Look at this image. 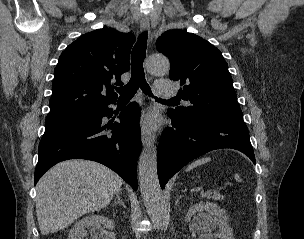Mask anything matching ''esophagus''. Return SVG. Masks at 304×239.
I'll return each mask as SVG.
<instances>
[{
  "instance_id": "34e87169",
  "label": "esophagus",
  "mask_w": 304,
  "mask_h": 239,
  "mask_svg": "<svg viewBox=\"0 0 304 239\" xmlns=\"http://www.w3.org/2000/svg\"><path fill=\"white\" fill-rule=\"evenodd\" d=\"M149 26H150V22H149L148 18H143L140 21L141 31H147L149 29ZM152 140H153V135L151 134V132L148 131L145 128H142V131H141V141H142V143L145 145V144L150 143Z\"/></svg>"
}]
</instances>
